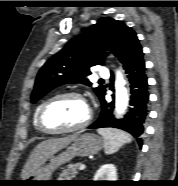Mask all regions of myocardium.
I'll return each instance as SVG.
<instances>
[{"mask_svg": "<svg viewBox=\"0 0 178 186\" xmlns=\"http://www.w3.org/2000/svg\"><path fill=\"white\" fill-rule=\"evenodd\" d=\"M66 97H75V98H78L79 100H81L82 102H84L85 105L87 106V110H88L87 116L82 123H80L79 125H77L75 127L66 128V129H50L49 127L46 126V124L44 122L45 110L53 102H55L59 99H62V98H66ZM92 117H93L92 109H91L89 103L87 102V100L85 99V97L79 92L67 91V92L56 94L41 104V106L38 110V114H37V124H38L39 129L42 132L47 133V134L73 133V132L81 131L84 128H86L90 124Z\"/></svg>", "mask_w": 178, "mask_h": 186, "instance_id": "myocardium-1", "label": "myocardium"}]
</instances>
